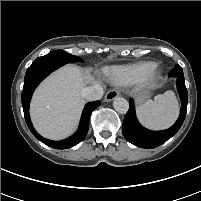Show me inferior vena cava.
<instances>
[{"label":"inferior vena cava","mask_w":201,"mask_h":201,"mask_svg":"<svg viewBox=\"0 0 201 201\" xmlns=\"http://www.w3.org/2000/svg\"><path fill=\"white\" fill-rule=\"evenodd\" d=\"M103 93V87L99 84H94L84 89L83 96L88 101H96L102 98Z\"/></svg>","instance_id":"1"}]
</instances>
